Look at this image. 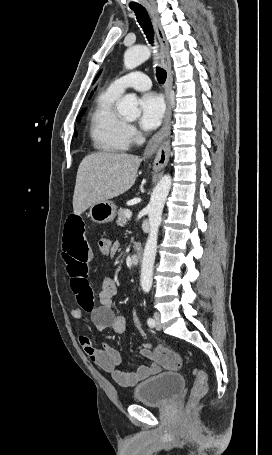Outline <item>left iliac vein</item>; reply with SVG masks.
I'll return each mask as SVG.
<instances>
[{
  "label": "left iliac vein",
  "instance_id": "4c4485c4",
  "mask_svg": "<svg viewBox=\"0 0 272 455\" xmlns=\"http://www.w3.org/2000/svg\"><path fill=\"white\" fill-rule=\"evenodd\" d=\"M155 328L161 330L160 314L158 312L154 313Z\"/></svg>",
  "mask_w": 272,
  "mask_h": 455
}]
</instances>
